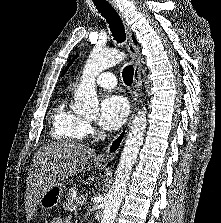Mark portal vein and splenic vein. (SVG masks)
I'll list each match as a JSON object with an SVG mask.
<instances>
[{
  "label": "portal vein and splenic vein",
  "mask_w": 221,
  "mask_h": 223,
  "mask_svg": "<svg viewBox=\"0 0 221 223\" xmlns=\"http://www.w3.org/2000/svg\"><path fill=\"white\" fill-rule=\"evenodd\" d=\"M84 201H85V198H82V199H80L79 201H78V204H83L84 203Z\"/></svg>",
  "instance_id": "obj_1"
}]
</instances>
